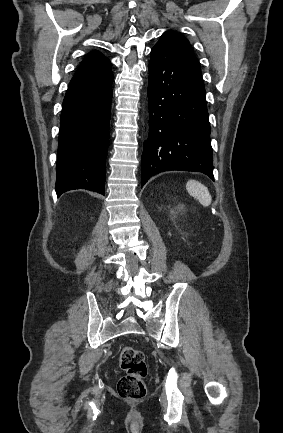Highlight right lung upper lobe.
Listing matches in <instances>:
<instances>
[{
  "mask_svg": "<svg viewBox=\"0 0 283 433\" xmlns=\"http://www.w3.org/2000/svg\"><path fill=\"white\" fill-rule=\"evenodd\" d=\"M110 65V60L101 52H90L81 62L69 86L91 83L112 75Z\"/></svg>",
  "mask_w": 283,
  "mask_h": 433,
  "instance_id": "cb5924a9",
  "label": "right lung upper lobe"
}]
</instances>
